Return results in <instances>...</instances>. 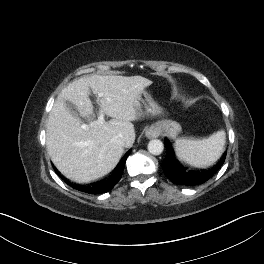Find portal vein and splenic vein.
Returning <instances> with one entry per match:
<instances>
[{
    "label": "portal vein and splenic vein",
    "instance_id": "18ae733b",
    "mask_svg": "<svg viewBox=\"0 0 264 264\" xmlns=\"http://www.w3.org/2000/svg\"><path fill=\"white\" fill-rule=\"evenodd\" d=\"M101 96H102V94H99L98 95V97H101ZM104 121H105V119H104V113H103V111H100L99 116H98V119L94 123L97 124V125H102L104 123ZM81 128L82 129H87L88 128V125L82 124L81 125Z\"/></svg>",
    "mask_w": 264,
    "mask_h": 264
}]
</instances>
